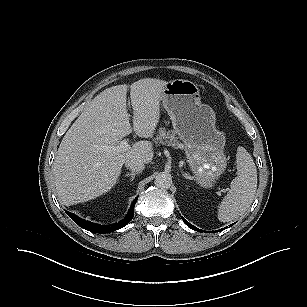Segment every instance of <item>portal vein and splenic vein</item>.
Here are the masks:
<instances>
[{"mask_svg": "<svg viewBox=\"0 0 307 307\" xmlns=\"http://www.w3.org/2000/svg\"><path fill=\"white\" fill-rule=\"evenodd\" d=\"M105 149L110 152H126L130 149V145L127 140H122L118 145L106 146Z\"/></svg>", "mask_w": 307, "mask_h": 307, "instance_id": "1", "label": "portal vein and splenic vein"}]
</instances>
